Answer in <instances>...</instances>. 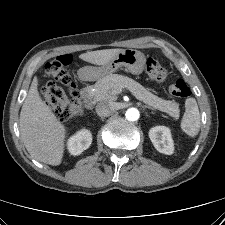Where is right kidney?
<instances>
[{"label":"right kidney","instance_id":"obj_1","mask_svg":"<svg viewBox=\"0 0 225 225\" xmlns=\"http://www.w3.org/2000/svg\"><path fill=\"white\" fill-rule=\"evenodd\" d=\"M92 142L90 131L82 129L68 140V150L72 155H79L88 149Z\"/></svg>","mask_w":225,"mask_h":225}]
</instances>
